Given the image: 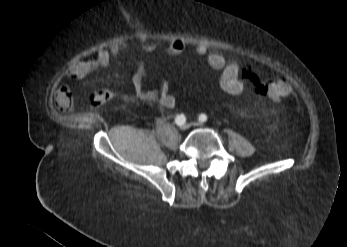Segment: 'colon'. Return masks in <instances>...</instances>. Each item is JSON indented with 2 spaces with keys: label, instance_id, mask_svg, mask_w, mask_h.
Here are the masks:
<instances>
[{
  "label": "colon",
  "instance_id": "5ec220e1",
  "mask_svg": "<svg viewBox=\"0 0 347 247\" xmlns=\"http://www.w3.org/2000/svg\"><path fill=\"white\" fill-rule=\"evenodd\" d=\"M259 87L263 91L264 98L269 102H277L290 92L288 83L282 78H276L272 74H265L259 80ZM111 97L109 92L100 90L91 95L93 106L105 104Z\"/></svg>",
  "mask_w": 347,
  "mask_h": 247
}]
</instances>
